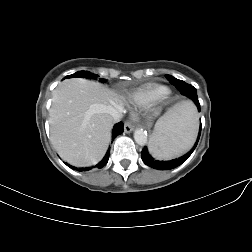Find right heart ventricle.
I'll use <instances>...</instances> for the list:
<instances>
[{
    "label": "right heart ventricle",
    "mask_w": 252,
    "mask_h": 252,
    "mask_svg": "<svg viewBox=\"0 0 252 252\" xmlns=\"http://www.w3.org/2000/svg\"><path fill=\"white\" fill-rule=\"evenodd\" d=\"M169 95V90L164 86L149 85L132 93V102L139 107H148L162 101Z\"/></svg>",
    "instance_id": "1"
}]
</instances>
